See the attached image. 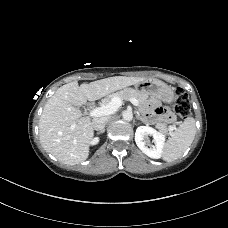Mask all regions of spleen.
I'll list each match as a JSON object with an SVG mask.
<instances>
[{"mask_svg": "<svg viewBox=\"0 0 228 228\" xmlns=\"http://www.w3.org/2000/svg\"><path fill=\"white\" fill-rule=\"evenodd\" d=\"M195 134V119L187 117L165 144L162 154L163 160L172 162L180 158L192 144Z\"/></svg>", "mask_w": 228, "mask_h": 228, "instance_id": "obj_1", "label": "spleen"}]
</instances>
